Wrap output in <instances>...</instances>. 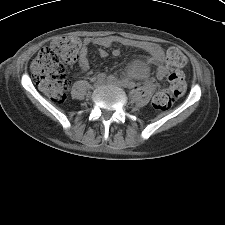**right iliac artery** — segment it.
I'll use <instances>...</instances> for the list:
<instances>
[{"label":"right iliac artery","instance_id":"1","mask_svg":"<svg viewBox=\"0 0 225 225\" xmlns=\"http://www.w3.org/2000/svg\"><path fill=\"white\" fill-rule=\"evenodd\" d=\"M106 78V74L105 73H99L97 75V80L103 81Z\"/></svg>","mask_w":225,"mask_h":225}]
</instances>
